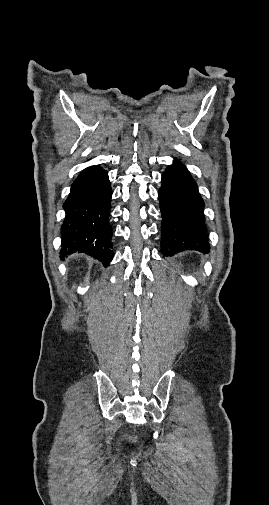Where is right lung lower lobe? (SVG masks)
<instances>
[{"label": "right lung lower lobe", "instance_id": "98d812e1", "mask_svg": "<svg viewBox=\"0 0 269 505\" xmlns=\"http://www.w3.org/2000/svg\"><path fill=\"white\" fill-rule=\"evenodd\" d=\"M111 184L99 166L84 169L73 182L63 208L61 255L88 254L108 265L112 259V229L109 224Z\"/></svg>", "mask_w": 269, "mask_h": 505}]
</instances>
